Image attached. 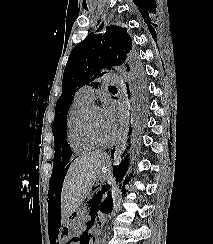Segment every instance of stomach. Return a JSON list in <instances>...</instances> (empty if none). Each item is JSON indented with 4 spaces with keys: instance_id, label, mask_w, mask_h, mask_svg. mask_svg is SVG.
Masks as SVG:
<instances>
[{
    "instance_id": "1",
    "label": "stomach",
    "mask_w": 213,
    "mask_h": 244,
    "mask_svg": "<svg viewBox=\"0 0 213 244\" xmlns=\"http://www.w3.org/2000/svg\"><path fill=\"white\" fill-rule=\"evenodd\" d=\"M105 176L104 172H99L97 178L101 180ZM80 231L79 221L76 217V212H73L63 224L60 231V236L63 239H59V244H68V239H74L75 233Z\"/></svg>"
}]
</instances>
